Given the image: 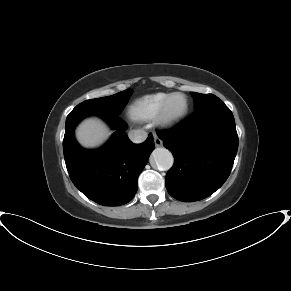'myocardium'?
Here are the masks:
<instances>
[{
	"label": "myocardium",
	"mask_w": 291,
	"mask_h": 291,
	"mask_svg": "<svg viewBox=\"0 0 291 291\" xmlns=\"http://www.w3.org/2000/svg\"><path fill=\"white\" fill-rule=\"evenodd\" d=\"M177 98H182L183 100V104L181 107H176L174 105V101ZM188 109L189 104L186 96L181 93H173L169 95L168 98L165 100L158 115V119L163 124H175L187 115Z\"/></svg>",
	"instance_id": "1"
}]
</instances>
